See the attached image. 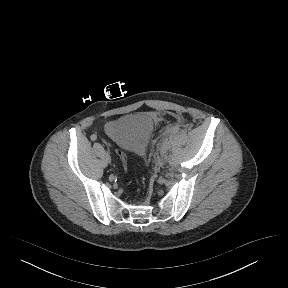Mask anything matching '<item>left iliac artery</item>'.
Returning a JSON list of instances; mask_svg holds the SVG:
<instances>
[{"label":"left iliac artery","mask_w":288,"mask_h":288,"mask_svg":"<svg viewBox=\"0 0 288 288\" xmlns=\"http://www.w3.org/2000/svg\"><path fill=\"white\" fill-rule=\"evenodd\" d=\"M167 141H168L167 138H165V139L163 140V142H162V144H161V150H162V151L165 149L166 144H167Z\"/></svg>","instance_id":"1"}]
</instances>
